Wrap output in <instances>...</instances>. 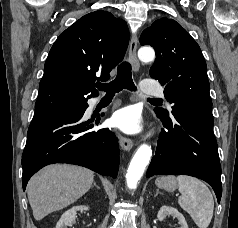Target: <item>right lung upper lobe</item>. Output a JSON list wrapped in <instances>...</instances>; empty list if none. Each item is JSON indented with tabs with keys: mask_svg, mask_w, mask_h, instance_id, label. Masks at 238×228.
I'll list each match as a JSON object with an SVG mask.
<instances>
[{
	"mask_svg": "<svg viewBox=\"0 0 238 228\" xmlns=\"http://www.w3.org/2000/svg\"><path fill=\"white\" fill-rule=\"evenodd\" d=\"M128 41L126 23L111 13L99 10L81 17L60 34L49 52L35 113L98 95L94 82L109 79V72L123 59ZM96 74L101 75L97 78Z\"/></svg>",
	"mask_w": 238,
	"mask_h": 228,
	"instance_id": "1",
	"label": "right lung upper lobe"
}]
</instances>
